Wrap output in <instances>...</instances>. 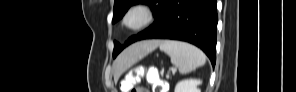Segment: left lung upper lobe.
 <instances>
[{"label":"left lung upper lobe","mask_w":296,"mask_h":92,"mask_svg":"<svg viewBox=\"0 0 296 92\" xmlns=\"http://www.w3.org/2000/svg\"><path fill=\"white\" fill-rule=\"evenodd\" d=\"M168 2L169 0H115L112 23H115L119 19H121L123 15L126 13V11L129 9V7L137 3H145L150 5L151 10L155 16V21L149 28H147L143 32L129 38L125 45L121 46L119 43L114 42L113 57H116L117 54L121 52L125 46L140 40V38L143 35L148 34L157 29L164 21L165 9Z\"/></svg>","instance_id":"1"}]
</instances>
